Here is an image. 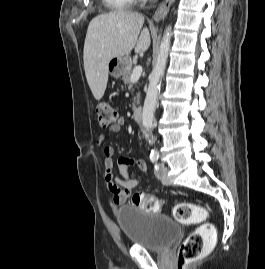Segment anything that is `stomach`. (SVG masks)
I'll use <instances>...</instances> for the list:
<instances>
[{
  "label": "stomach",
  "instance_id": "0dacf381",
  "mask_svg": "<svg viewBox=\"0 0 265 269\" xmlns=\"http://www.w3.org/2000/svg\"><path fill=\"white\" fill-rule=\"evenodd\" d=\"M107 68L112 77L120 78L131 69V59L129 56L114 57L109 61Z\"/></svg>",
  "mask_w": 265,
  "mask_h": 269
}]
</instances>
